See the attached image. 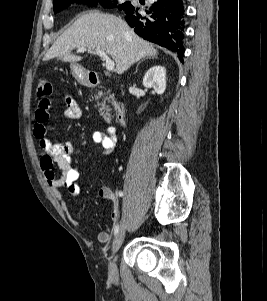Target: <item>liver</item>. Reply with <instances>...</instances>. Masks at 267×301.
<instances>
[{
	"label": "liver",
	"instance_id": "6515ba94",
	"mask_svg": "<svg viewBox=\"0 0 267 301\" xmlns=\"http://www.w3.org/2000/svg\"><path fill=\"white\" fill-rule=\"evenodd\" d=\"M85 47L88 52L102 50L116 63V72L123 74L142 58L158 54L153 44L139 37L120 17L99 11L82 14L45 54L43 60L53 58L76 64L83 57L72 51Z\"/></svg>",
	"mask_w": 267,
	"mask_h": 301
}]
</instances>
